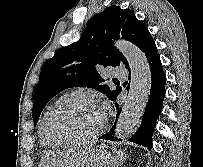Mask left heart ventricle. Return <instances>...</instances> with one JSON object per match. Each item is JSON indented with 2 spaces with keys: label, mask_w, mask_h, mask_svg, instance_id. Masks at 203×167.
I'll return each instance as SVG.
<instances>
[{
  "label": "left heart ventricle",
  "mask_w": 203,
  "mask_h": 167,
  "mask_svg": "<svg viewBox=\"0 0 203 167\" xmlns=\"http://www.w3.org/2000/svg\"><path fill=\"white\" fill-rule=\"evenodd\" d=\"M102 120V113L94 105L77 100L49 119L48 130L60 138H83L98 130Z\"/></svg>",
  "instance_id": "1"
}]
</instances>
